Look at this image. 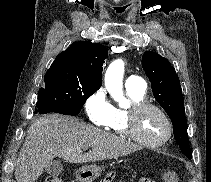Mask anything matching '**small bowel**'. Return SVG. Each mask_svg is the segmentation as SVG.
<instances>
[{
  "label": "small bowel",
  "mask_w": 211,
  "mask_h": 182,
  "mask_svg": "<svg viewBox=\"0 0 211 182\" xmlns=\"http://www.w3.org/2000/svg\"><path fill=\"white\" fill-rule=\"evenodd\" d=\"M142 182H155V181H151V180H143Z\"/></svg>",
  "instance_id": "obj_1"
}]
</instances>
